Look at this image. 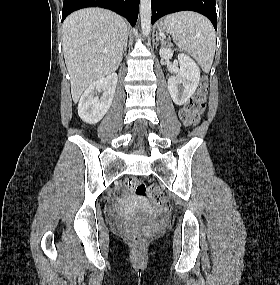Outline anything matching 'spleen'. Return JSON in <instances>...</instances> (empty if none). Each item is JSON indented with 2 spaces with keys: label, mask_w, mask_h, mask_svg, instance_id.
<instances>
[{
  "label": "spleen",
  "mask_w": 280,
  "mask_h": 285,
  "mask_svg": "<svg viewBox=\"0 0 280 285\" xmlns=\"http://www.w3.org/2000/svg\"><path fill=\"white\" fill-rule=\"evenodd\" d=\"M164 22L179 47L186 50L208 73L216 48V35L210 21L194 12H179L168 15Z\"/></svg>",
  "instance_id": "obj_1"
}]
</instances>
